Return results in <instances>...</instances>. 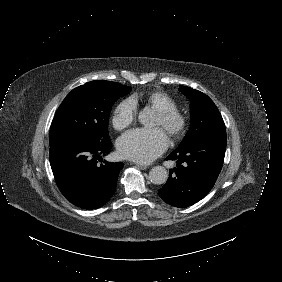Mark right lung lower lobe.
Here are the masks:
<instances>
[{"label":"right lung lower lobe","instance_id":"1","mask_svg":"<svg viewBox=\"0 0 282 282\" xmlns=\"http://www.w3.org/2000/svg\"><path fill=\"white\" fill-rule=\"evenodd\" d=\"M111 141L70 138L50 146L51 168L61 193L74 205L92 210L115 193L122 162L98 164L109 154Z\"/></svg>","mask_w":282,"mask_h":282}]
</instances>
